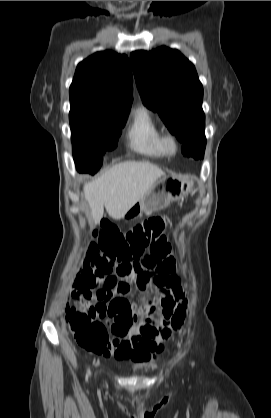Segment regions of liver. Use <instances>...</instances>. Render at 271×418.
I'll use <instances>...</instances> for the list:
<instances>
[{
    "label": "liver",
    "instance_id": "6515ba94",
    "mask_svg": "<svg viewBox=\"0 0 271 418\" xmlns=\"http://www.w3.org/2000/svg\"><path fill=\"white\" fill-rule=\"evenodd\" d=\"M162 176H165L163 170L152 163L126 161L85 183L83 193L91 209L92 222L101 221L104 207L110 217L121 219Z\"/></svg>",
    "mask_w": 271,
    "mask_h": 418
}]
</instances>
